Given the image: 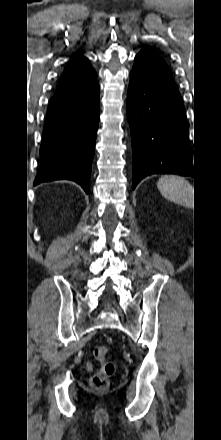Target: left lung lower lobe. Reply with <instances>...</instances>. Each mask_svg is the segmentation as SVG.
Masks as SVG:
<instances>
[{
  "instance_id": "1",
  "label": "left lung lower lobe",
  "mask_w": 221,
  "mask_h": 440,
  "mask_svg": "<svg viewBox=\"0 0 221 440\" xmlns=\"http://www.w3.org/2000/svg\"><path fill=\"white\" fill-rule=\"evenodd\" d=\"M127 115L132 138L133 189L146 176H196L188 149L184 104L164 59L142 49L130 73Z\"/></svg>"
}]
</instances>
